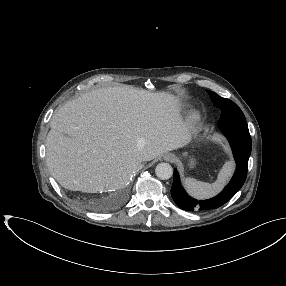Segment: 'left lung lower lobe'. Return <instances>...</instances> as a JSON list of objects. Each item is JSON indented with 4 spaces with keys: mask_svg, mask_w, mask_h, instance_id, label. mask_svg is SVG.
<instances>
[{
    "mask_svg": "<svg viewBox=\"0 0 286 286\" xmlns=\"http://www.w3.org/2000/svg\"><path fill=\"white\" fill-rule=\"evenodd\" d=\"M219 127L222 129L232 147L236 161L235 173L229 184L219 195L208 200L197 201L185 192L181 186L179 174L175 169L171 196L175 203L183 210L216 209L234 196L246 180L248 160L251 154V137L245 118L222 117L219 119Z\"/></svg>",
    "mask_w": 286,
    "mask_h": 286,
    "instance_id": "obj_1",
    "label": "left lung lower lobe"
}]
</instances>
